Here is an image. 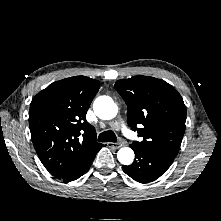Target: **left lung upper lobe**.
<instances>
[{"mask_svg": "<svg viewBox=\"0 0 221 221\" xmlns=\"http://www.w3.org/2000/svg\"><path fill=\"white\" fill-rule=\"evenodd\" d=\"M115 89L127 104L129 127L143 137L132 145L175 158L186 128V106L177 90L142 75L118 80Z\"/></svg>", "mask_w": 221, "mask_h": 221, "instance_id": "obj_1", "label": "left lung upper lobe"}]
</instances>
